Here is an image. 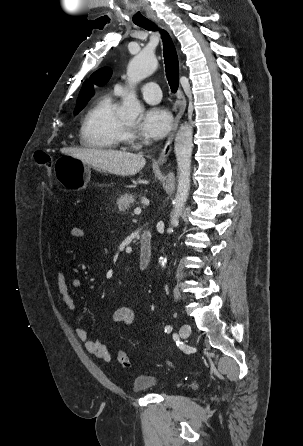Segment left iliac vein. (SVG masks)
<instances>
[{"mask_svg":"<svg viewBox=\"0 0 303 446\" xmlns=\"http://www.w3.org/2000/svg\"><path fill=\"white\" fill-rule=\"evenodd\" d=\"M191 333V326L189 324H183L180 327L179 335L181 338L186 339Z\"/></svg>","mask_w":303,"mask_h":446,"instance_id":"1","label":"left iliac vein"}]
</instances>
